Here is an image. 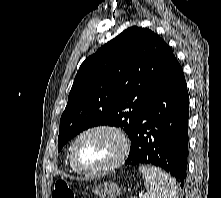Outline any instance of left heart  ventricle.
<instances>
[{
  "mask_svg": "<svg viewBox=\"0 0 221 198\" xmlns=\"http://www.w3.org/2000/svg\"><path fill=\"white\" fill-rule=\"evenodd\" d=\"M120 144L111 133L98 131L82 137L75 149L76 160L84 168L98 169L109 164L118 154Z\"/></svg>",
  "mask_w": 221,
  "mask_h": 198,
  "instance_id": "left-heart-ventricle-1",
  "label": "left heart ventricle"
}]
</instances>
